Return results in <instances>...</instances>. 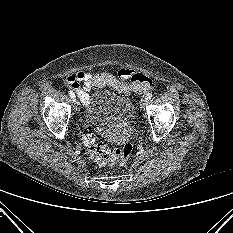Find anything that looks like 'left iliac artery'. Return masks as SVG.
Returning <instances> with one entry per match:
<instances>
[{"label": "left iliac artery", "mask_w": 233, "mask_h": 233, "mask_svg": "<svg viewBox=\"0 0 233 233\" xmlns=\"http://www.w3.org/2000/svg\"><path fill=\"white\" fill-rule=\"evenodd\" d=\"M152 96H153L152 93H148L145 98H146V100H150L152 98Z\"/></svg>", "instance_id": "left-iliac-artery-1"}]
</instances>
